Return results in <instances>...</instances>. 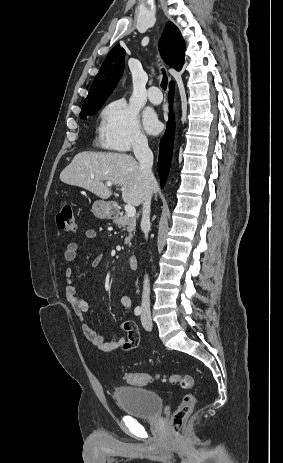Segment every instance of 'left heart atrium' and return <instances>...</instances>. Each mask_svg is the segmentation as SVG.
<instances>
[{
    "label": "left heart atrium",
    "instance_id": "39dd6f15",
    "mask_svg": "<svg viewBox=\"0 0 283 463\" xmlns=\"http://www.w3.org/2000/svg\"><path fill=\"white\" fill-rule=\"evenodd\" d=\"M144 126L147 132L150 134H156L160 131V123L153 113L145 114Z\"/></svg>",
    "mask_w": 283,
    "mask_h": 463
}]
</instances>
